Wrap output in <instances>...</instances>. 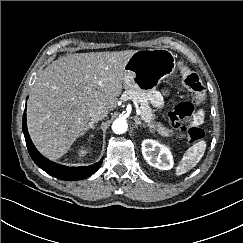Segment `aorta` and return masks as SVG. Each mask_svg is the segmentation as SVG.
I'll return each instance as SVG.
<instances>
[{"instance_id": "762f6f07", "label": "aorta", "mask_w": 243, "mask_h": 243, "mask_svg": "<svg viewBox=\"0 0 243 243\" xmlns=\"http://www.w3.org/2000/svg\"><path fill=\"white\" fill-rule=\"evenodd\" d=\"M127 122L122 119H116L112 124V130L115 134H123L127 131Z\"/></svg>"}]
</instances>
